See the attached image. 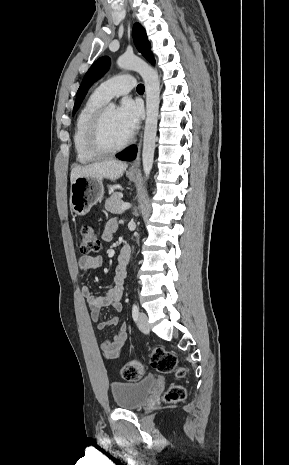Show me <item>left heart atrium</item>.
Wrapping results in <instances>:
<instances>
[{
  "label": "left heart atrium",
  "instance_id": "obj_1",
  "mask_svg": "<svg viewBox=\"0 0 289 465\" xmlns=\"http://www.w3.org/2000/svg\"><path fill=\"white\" fill-rule=\"evenodd\" d=\"M141 114L140 104L129 98L124 99L117 108L119 124L128 138L138 129Z\"/></svg>",
  "mask_w": 289,
  "mask_h": 465
}]
</instances>
